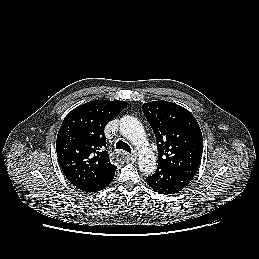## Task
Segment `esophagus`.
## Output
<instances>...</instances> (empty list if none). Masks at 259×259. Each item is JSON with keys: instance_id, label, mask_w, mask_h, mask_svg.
<instances>
[{"instance_id": "esophagus-1", "label": "esophagus", "mask_w": 259, "mask_h": 259, "mask_svg": "<svg viewBox=\"0 0 259 259\" xmlns=\"http://www.w3.org/2000/svg\"><path fill=\"white\" fill-rule=\"evenodd\" d=\"M126 158L130 161H135L137 159L136 154H127Z\"/></svg>"}]
</instances>
